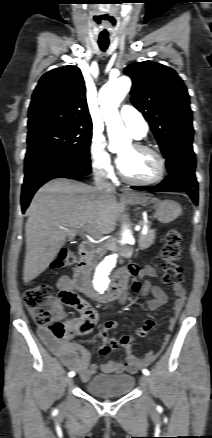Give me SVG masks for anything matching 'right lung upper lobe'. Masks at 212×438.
<instances>
[{
    "label": "right lung upper lobe",
    "mask_w": 212,
    "mask_h": 438,
    "mask_svg": "<svg viewBox=\"0 0 212 438\" xmlns=\"http://www.w3.org/2000/svg\"><path fill=\"white\" fill-rule=\"evenodd\" d=\"M28 118L29 130L43 126L91 129L80 69L64 66L44 74L32 95Z\"/></svg>",
    "instance_id": "1"
}]
</instances>
